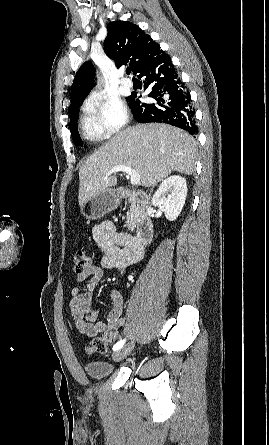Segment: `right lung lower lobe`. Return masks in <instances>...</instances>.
Wrapping results in <instances>:
<instances>
[{
  "mask_svg": "<svg viewBox=\"0 0 269 445\" xmlns=\"http://www.w3.org/2000/svg\"><path fill=\"white\" fill-rule=\"evenodd\" d=\"M138 77L145 78L144 89L152 87L149 97L155 99V103L146 104L135 100L136 93L129 97L133 116L138 122L167 123L192 136L198 133L190 94L167 54L146 65Z\"/></svg>",
  "mask_w": 269,
  "mask_h": 445,
  "instance_id": "1",
  "label": "right lung lower lobe"
}]
</instances>
